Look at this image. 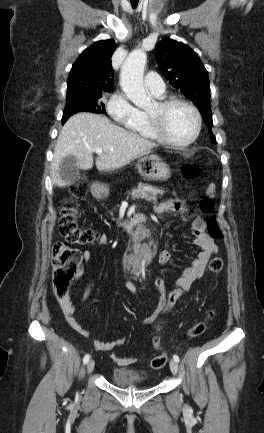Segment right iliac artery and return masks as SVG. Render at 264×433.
I'll return each instance as SVG.
<instances>
[{"mask_svg":"<svg viewBox=\"0 0 264 433\" xmlns=\"http://www.w3.org/2000/svg\"><path fill=\"white\" fill-rule=\"evenodd\" d=\"M89 359H90V355H89V354H86V355L84 356V358H83V363H84V364H87L88 361H89Z\"/></svg>","mask_w":264,"mask_h":433,"instance_id":"obj_1","label":"right iliac artery"}]
</instances>
